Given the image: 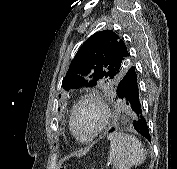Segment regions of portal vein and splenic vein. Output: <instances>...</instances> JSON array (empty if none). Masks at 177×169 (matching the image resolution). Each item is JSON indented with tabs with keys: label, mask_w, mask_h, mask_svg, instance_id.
Listing matches in <instances>:
<instances>
[{
	"label": "portal vein and splenic vein",
	"mask_w": 177,
	"mask_h": 169,
	"mask_svg": "<svg viewBox=\"0 0 177 169\" xmlns=\"http://www.w3.org/2000/svg\"><path fill=\"white\" fill-rule=\"evenodd\" d=\"M114 167H115V166L113 165V166H112V169H114Z\"/></svg>",
	"instance_id": "obj_1"
}]
</instances>
